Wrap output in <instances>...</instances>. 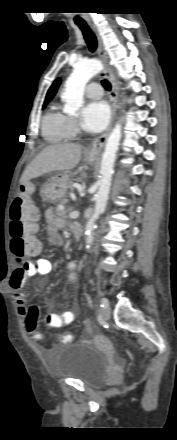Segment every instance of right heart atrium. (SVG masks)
<instances>
[{
    "mask_svg": "<svg viewBox=\"0 0 177 440\" xmlns=\"http://www.w3.org/2000/svg\"><path fill=\"white\" fill-rule=\"evenodd\" d=\"M67 129L70 136H74L75 134L78 133L79 131L78 124L74 118L72 117L67 118Z\"/></svg>",
    "mask_w": 177,
    "mask_h": 440,
    "instance_id": "d8ad5b80",
    "label": "right heart atrium"
}]
</instances>
